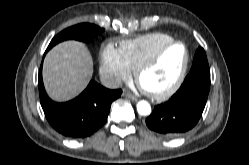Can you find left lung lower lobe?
Returning <instances> with one entry per match:
<instances>
[{"label":"left lung lower lobe","instance_id":"left-lung-lower-lobe-1","mask_svg":"<svg viewBox=\"0 0 249 165\" xmlns=\"http://www.w3.org/2000/svg\"><path fill=\"white\" fill-rule=\"evenodd\" d=\"M210 73L190 72L179 90L157 105L146 119L148 128L164 137H178L199 121L208 98Z\"/></svg>","mask_w":249,"mask_h":165}]
</instances>
